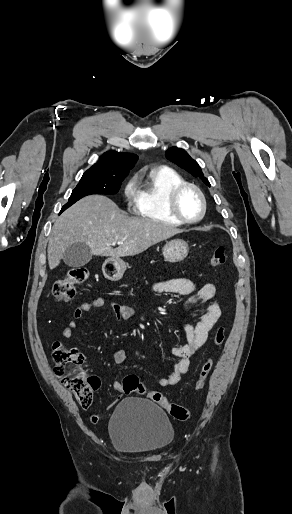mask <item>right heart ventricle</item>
I'll use <instances>...</instances> for the list:
<instances>
[{
    "label": "right heart ventricle",
    "mask_w": 292,
    "mask_h": 514,
    "mask_svg": "<svg viewBox=\"0 0 292 514\" xmlns=\"http://www.w3.org/2000/svg\"><path fill=\"white\" fill-rule=\"evenodd\" d=\"M181 182V176L172 170L150 171L145 181L140 183L137 197L132 204V213L169 226H178L180 223L166 210L165 196L169 189Z\"/></svg>",
    "instance_id": "e07e8e85"
}]
</instances>
